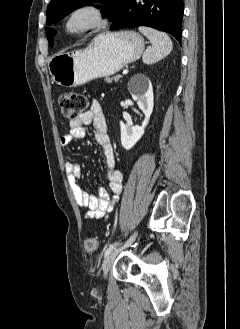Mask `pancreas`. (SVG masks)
Segmentation results:
<instances>
[{
  "instance_id": "pancreas-1",
  "label": "pancreas",
  "mask_w": 240,
  "mask_h": 329,
  "mask_svg": "<svg viewBox=\"0 0 240 329\" xmlns=\"http://www.w3.org/2000/svg\"><path fill=\"white\" fill-rule=\"evenodd\" d=\"M121 77H122L121 75H115V76H113V77H111V78L107 77V78L105 79V81H106L107 83H112L113 81L117 82V81L120 80Z\"/></svg>"
}]
</instances>
